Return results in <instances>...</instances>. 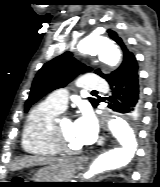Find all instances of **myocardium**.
<instances>
[{
  "mask_svg": "<svg viewBox=\"0 0 160 187\" xmlns=\"http://www.w3.org/2000/svg\"><path fill=\"white\" fill-rule=\"evenodd\" d=\"M52 139L53 144L58 151L59 154L64 155H77L83 152V148L79 149H70L68 145L65 143L64 136L60 130L59 120H54L52 124Z\"/></svg>",
  "mask_w": 160,
  "mask_h": 187,
  "instance_id": "1",
  "label": "myocardium"
}]
</instances>
